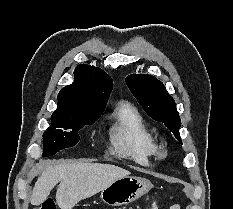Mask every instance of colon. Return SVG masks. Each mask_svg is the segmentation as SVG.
Returning a JSON list of instances; mask_svg holds the SVG:
<instances>
[{
  "label": "colon",
  "mask_w": 233,
  "mask_h": 209,
  "mask_svg": "<svg viewBox=\"0 0 233 209\" xmlns=\"http://www.w3.org/2000/svg\"><path fill=\"white\" fill-rule=\"evenodd\" d=\"M38 209H57V208H56V204L53 200L47 199L41 204V206ZM150 209H160V208H159V205L157 203H153L150 206Z\"/></svg>",
  "instance_id": "obj_1"
}]
</instances>
